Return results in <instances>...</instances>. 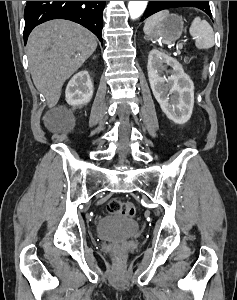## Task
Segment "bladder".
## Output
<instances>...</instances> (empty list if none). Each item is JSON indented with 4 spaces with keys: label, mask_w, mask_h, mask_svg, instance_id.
Instances as JSON below:
<instances>
[{
    "label": "bladder",
    "mask_w": 237,
    "mask_h": 300,
    "mask_svg": "<svg viewBox=\"0 0 237 300\" xmlns=\"http://www.w3.org/2000/svg\"><path fill=\"white\" fill-rule=\"evenodd\" d=\"M138 223L120 213H110L99 219L95 227L96 236L102 240H123L138 236Z\"/></svg>",
    "instance_id": "31cf9c89"
}]
</instances>
